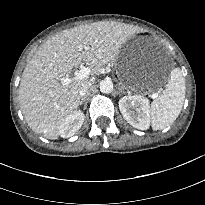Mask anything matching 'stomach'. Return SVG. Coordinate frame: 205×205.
Wrapping results in <instances>:
<instances>
[{"label": "stomach", "mask_w": 205, "mask_h": 205, "mask_svg": "<svg viewBox=\"0 0 205 205\" xmlns=\"http://www.w3.org/2000/svg\"><path fill=\"white\" fill-rule=\"evenodd\" d=\"M117 68L122 81L129 90L154 92L162 82H153L143 74L145 67H151L159 61L158 67L165 59H161V48L156 39L149 35L131 37L120 49L117 56Z\"/></svg>", "instance_id": "obj_1"}]
</instances>
